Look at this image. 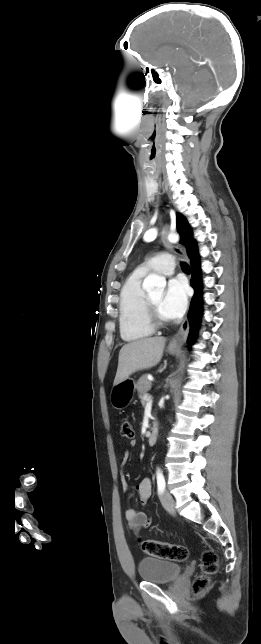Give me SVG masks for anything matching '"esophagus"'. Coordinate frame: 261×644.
Listing matches in <instances>:
<instances>
[{"label": "esophagus", "mask_w": 261, "mask_h": 644, "mask_svg": "<svg viewBox=\"0 0 261 644\" xmlns=\"http://www.w3.org/2000/svg\"><path fill=\"white\" fill-rule=\"evenodd\" d=\"M168 230H169V226H168V225H166V226L164 227V229H163V232H162V239H163V242L165 243V245H166V246H168L169 248L173 249V250H174V252H175L178 256H180V257H183V258L187 259V256H186V253L184 252V250H182V249H181V248H179L178 246H176V247H172V246L170 245V243L168 242V239H167ZM188 332H189V321H188V319H187V318H185V319L183 320V322H182V324H181V326H180L179 330L177 331V333L172 337V339H171V341H170V345H171V346H178V345H182V344L186 341V339H187Z\"/></svg>", "instance_id": "34e87169"}]
</instances>
